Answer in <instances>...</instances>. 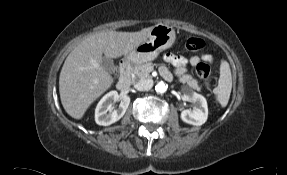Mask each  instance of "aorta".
<instances>
[{
    "label": "aorta",
    "instance_id": "1",
    "mask_svg": "<svg viewBox=\"0 0 287 175\" xmlns=\"http://www.w3.org/2000/svg\"><path fill=\"white\" fill-rule=\"evenodd\" d=\"M167 88H168V86H167V84H165L164 82H159V83H157V85L155 86V90H156V92H158V93H165L166 91H167Z\"/></svg>",
    "mask_w": 287,
    "mask_h": 175
}]
</instances>
